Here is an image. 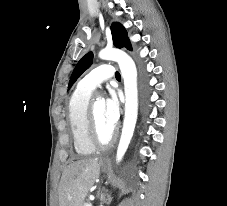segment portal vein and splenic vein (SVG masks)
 <instances>
[{
	"label": "portal vein and splenic vein",
	"mask_w": 227,
	"mask_h": 206,
	"mask_svg": "<svg viewBox=\"0 0 227 206\" xmlns=\"http://www.w3.org/2000/svg\"><path fill=\"white\" fill-rule=\"evenodd\" d=\"M86 206H92V204H87Z\"/></svg>",
	"instance_id": "obj_1"
}]
</instances>
